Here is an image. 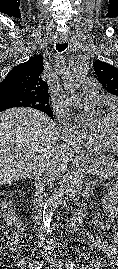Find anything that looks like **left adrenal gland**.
Wrapping results in <instances>:
<instances>
[{
	"label": "left adrenal gland",
	"instance_id": "obj_1",
	"mask_svg": "<svg viewBox=\"0 0 118 269\" xmlns=\"http://www.w3.org/2000/svg\"><path fill=\"white\" fill-rule=\"evenodd\" d=\"M92 189H93V185H92V183H91V184H89L87 190L90 191V190H92Z\"/></svg>",
	"mask_w": 118,
	"mask_h": 269
}]
</instances>
